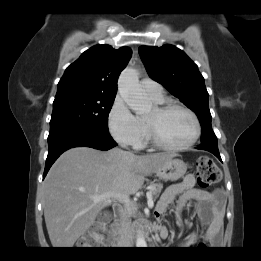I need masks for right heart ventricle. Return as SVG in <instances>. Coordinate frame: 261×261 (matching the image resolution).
I'll return each mask as SVG.
<instances>
[{"label":"right heart ventricle","instance_id":"right-heart-ventricle-1","mask_svg":"<svg viewBox=\"0 0 261 261\" xmlns=\"http://www.w3.org/2000/svg\"><path fill=\"white\" fill-rule=\"evenodd\" d=\"M153 101H155V102H157V103H161V102H163V96L162 97H159V98H152V97H150Z\"/></svg>","mask_w":261,"mask_h":261}]
</instances>
